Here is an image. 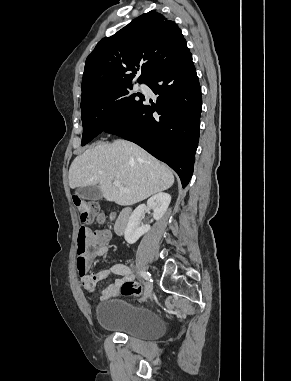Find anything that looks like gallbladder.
<instances>
[{
    "mask_svg": "<svg viewBox=\"0 0 291 381\" xmlns=\"http://www.w3.org/2000/svg\"><path fill=\"white\" fill-rule=\"evenodd\" d=\"M76 195L81 199L91 201L100 200L102 198V192L98 185L79 187L76 190Z\"/></svg>",
    "mask_w": 291,
    "mask_h": 381,
    "instance_id": "gallbladder-1",
    "label": "gallbladder"
}]
</instances>
